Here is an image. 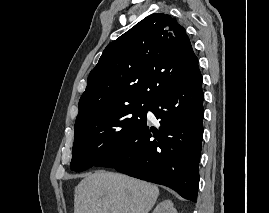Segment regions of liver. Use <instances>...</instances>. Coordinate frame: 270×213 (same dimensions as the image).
Returning <instances> with one entry per match:
<instances>
[{
  "label": "liver",
  "mask_w": 270,
  "mask_h": 213,
  "mask_svg": "<svg viewBox=\"0 0 270 213\" xmlns=\"http://www.w3.org/2000/svg\"><path fill=\"white\" fill-rule=\"evenodd\" d=\"M159 189L129 176L98 171L75 187L74 213H148Z\"/></svg>",
  "instance_id": "1"
}]
</instances>
